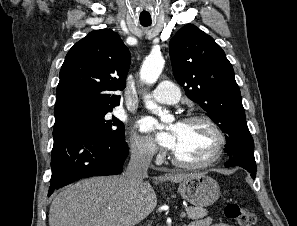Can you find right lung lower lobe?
<instances>
[{
    "instance_id": "1",
    "label": "right lung lower lobe",
    "mask_w": 297,
    "mask_h": 226,
    "mask_svg": "<svg viewBox=\"0 0 297 226\" xmlns=\"http://www.w3.org/2000/svg\"><path fill=\"white\" fill-rule=\"evenodd\" d=\"M53 138L48 196L82 178L121 173L129 154L124 140L114 141L82 128H56Z\"/></svg>"
}]
</instances>
